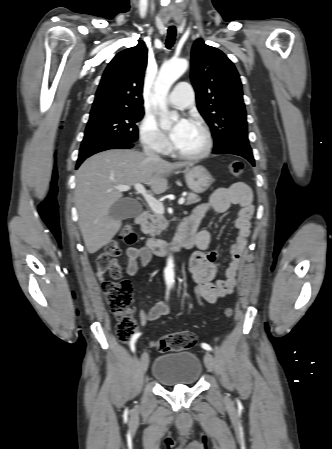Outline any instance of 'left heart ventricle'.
Instances as JSON below:
<instances>
[{"label": "left heart ventricle", "mask_w": 332, "mask_h": 449, "mask_svg": "<svg viewBox=\"0 0 332 449\" xmlns=\"http://www.w3.org/2000/svg\"><path fill=\"white\" fill-rule=\"evenodd\" d=\"M175 146L187 153H194L202 149L204 146V136L198 126L190 123L189 127L183 133Z\"/></svg>", "instance_id": "b2bd125f"}]
</instances>
